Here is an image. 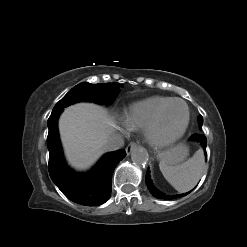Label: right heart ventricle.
I'll list each match as a JSON object with an SVG mask.
<instances>
[{"label":"right heart ventricle","mask_w":247,"mask_h":247,"mask_svg":"<svg viewBox=\"0 0 247 247\" xmlns=\"http://www.w3.org/2000/svg\"><path fill=\"white\" fill-rule=\"evenodd\" d=\"M171 97L152 96L136 103H133L126 112V122L134 129H146L156 112Z\"/></svg>","instance_id":"1"}]
</instances>
